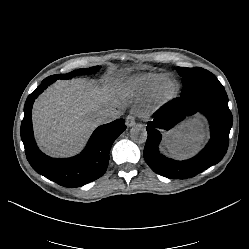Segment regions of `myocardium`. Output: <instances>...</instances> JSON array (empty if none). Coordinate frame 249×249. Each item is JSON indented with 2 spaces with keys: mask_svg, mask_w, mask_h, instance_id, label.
I'll return each instance as SVG.
<instances>
[{
  "mask_svg": "<svg viewBox=\"0 0 249 249\" xmlns=\"http://www.w3.org/2000/svg\"><path fill=\"white\" fill-rule=\"evenodd\" d=\"M179 89V82L173 76L160 79L151 88L145 101V109L149 112H155L164 108L176 100Z\"/></svg>",
  "mask_w": 249,
  "mask_h": 249,
  "instance_id": "obj_1",
  "label": "myocardium"
}]
</instances>
